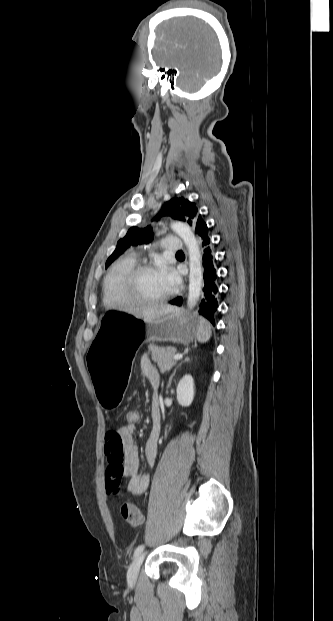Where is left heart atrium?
Instances as JSON below:
<instances>
[{"label":"left heart atrium","mask_w":333,"mask_h":621,"mask_svg":"<svg viewBox=\"0 0 333 621\" xmlns=\"http://www.w3.org/2000/svg\"><path fill=\"white\" fill-rule=\"evenodd\" d=\"M162 275L165 279V281L167 282L170 290H172L173 288H175L178 283H179V278L177 276V274L170 268H164L161 270Z\"/></svg>","instance_id":"obj_1"}]
</instances>
